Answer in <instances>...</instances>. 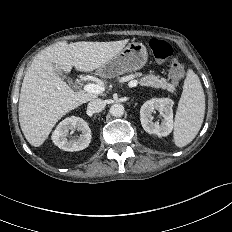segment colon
<instances>
[{
    "label": "colon",
    "instance_id": "obj_1",
    "mask_svg": "<svg viewBox=\"0 0 232 232\" xmlns=\"http://www.w3.org/2000/svg\"><path fill=\"white\" fill-rule=\"evenodd\" d=\"M147 46L157 60H169V77L173 82L177 83L183 79L184 67L173 57V48L167 41L153 38L148 41Z\"/></svg>",
    "mask_w": 232,
    "mask_h": 232
}]
</instances>
